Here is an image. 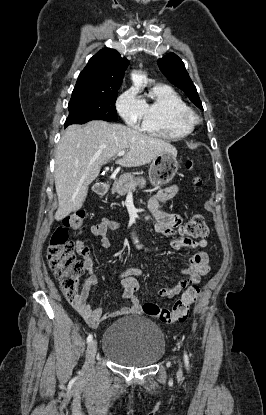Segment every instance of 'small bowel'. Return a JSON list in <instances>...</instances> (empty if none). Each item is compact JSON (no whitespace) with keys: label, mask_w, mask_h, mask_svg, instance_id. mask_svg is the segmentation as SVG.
I'll return each mask as SVG.
<instances>
[{"label":"small bowel","mask_w":266,"mask_h":415,"mask_svg":"<svg viewBox=\"0 0 266 415\" xmlns=\"http://www.w3.org/2000/svg\"><path fill=\"white\" fill-rule=\"evenodd\" d=\"M178 192L179 187L177 185L158 190L148 200L149 213L143 215L147 221L153 224L157 232L164 235H174L176 229L182 222V218L178 214L161 210L160 203L172 199ZM119 228L120 225L118 223L102 219L99 223L91 226V233L101 238L100 243L103 248H109L110 240L106 234L108 230H117ZM131 239L135 247L142 252L143 259L147 253L157 250L156 248L145 246L135 232L131 233ZM75 246L87 271V277L82 283L79 297L70 303L83 317L86 323L91 328H97L101 322L106 319L141 313V301L137 296L139 285L134 276L142 275V270L137 266H130L117 274V277L121 279L124 288L123 297L130 302L129 305L123 306L114 312L103 314L101 309H93L87 303L90 290L98 282L99 276L94 271V259L84 240L78 239ZM206 246L207 241L205 239L194 240L191 238H178L171 242V247L174 250H180L182 248L203 249ZM210 269L208 254L203 250L194 253L189 257L187 267L182 270L183 278L173 287L160 289L159 295L164 298H173L177 296L187 286L199 283L201 276L208 274Z\"/></svg>","instance_id":"1"}]
</instances>
